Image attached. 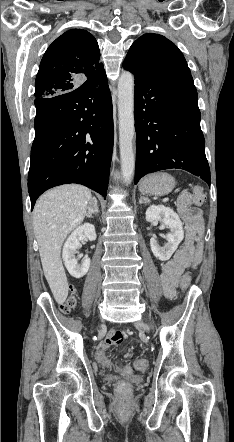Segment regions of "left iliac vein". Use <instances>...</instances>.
Returning <instances> with one entry per match:
<instances>
[{"label": "left iliac vein", "instance_id": "obj_1", "mask_svg": "<svg viewBox=\"0 0 234 442\" xmlns=\"http://www.w3.org/2000/svg\"><path fill=\"white\" fill-rule=\"evenodd\" d=\"M135 326L140 329V330H145V331H149L150 327L149 325H147L146 323L139 321L135 323Z\"/></svg>", "mask_w": 234, "mask_h": 442}]
</instances>
